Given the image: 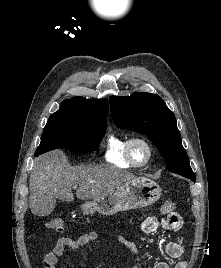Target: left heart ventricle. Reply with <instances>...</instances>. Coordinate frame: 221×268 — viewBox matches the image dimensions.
<instances>
[{"label": "left heart ventricle", "mask_w": 221, "mask_h": 268, "mask_svg": "<svg viewBox=\"0 0 221 268\" xmlns=\"http://www.w3.org/2000/svg\"><path fill=\"white\" fill-rule=\"evenodd\" d=\"M132 152L137 162H143L146 159L147 150L142 144L140 143L135 144L133 146Z\"/></svg>", "instance_id": "b2bd125f"}]
</instances>
